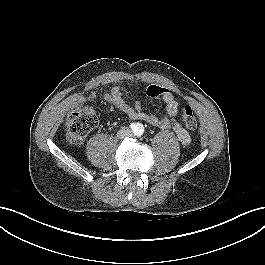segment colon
I'll list each match as a JSON object with an SVG mask.
<instances>
[{
	"mask_svg": "<svg viewBox=\"0 0 265 265\" xmlns=\"http://www.w3.org/2000/svg\"><path fill=\"white\" fill-rule=\"evenodd\" d=\"M148 96L153 98L161 97L165 88L160 86H149L146 89ZM182 120L186 128L193 130L197 126V119L191 106L186 105L182 111ZM67 138L72 144H80L84 138L96 127L97 115L90 107L81 108L78 111L68 115L67 121Z\"/></svg>",
	"mask_w": 265,
	"mask_h": 265,
	"instance_id": "colon-1",
	"label": "colon"
}]
</instances>
